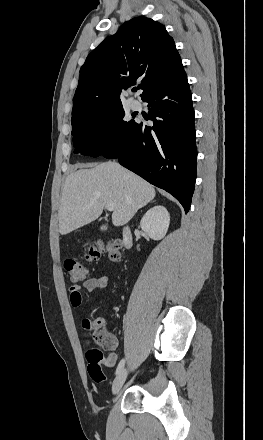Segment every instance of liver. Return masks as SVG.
I'll return each mask as SVG.
<instances>
[{
    "label": "liver",
    "instance_id": "obj_1",
    "mask_svg": "<svg viewBox=\"0 0 263 440\" xmlns=\"http://www.w3.org/2000/svg\"><path fill=\"white\" fill-rule=\"evenodd\" d=\"M156 195L154 187L117 162L81 165L66 177L59 207V232L66 235L98 219L108 202L112 223L122 226Z\"/></svg>",
    "mask_w": 263,
    "mask_h": 440
}]
</instances>
